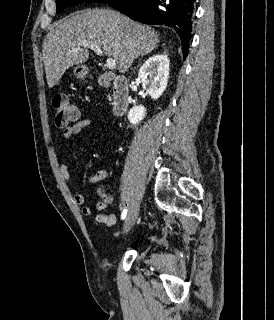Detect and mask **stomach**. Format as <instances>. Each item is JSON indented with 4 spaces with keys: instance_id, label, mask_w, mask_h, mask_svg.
Returning <instances> with one entry per match:
<instances>
[{
    "instance_id": "obj_1",
    "label": "stomach",
    "mask_w": 274,
    "mask_h": 320,
    "mask_svg": "<svg viewBox=\"0 0 274 320\" xmlns=\"http://www.w3.org/2000/svg\"><path fill=\"white\" fill-rule=\"evenodd\" d=\"M87 74H89V70L86 66H82V68H75V76H77V78H86Z\"/></svg>"
}]
</instances>
